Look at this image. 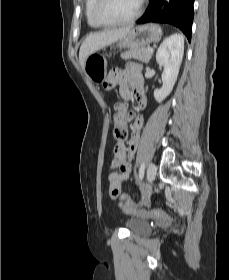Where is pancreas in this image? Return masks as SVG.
I'll use <instances>...</instances> for the list:
<instances>
[{"mask_svg":"<svg viewBox=\"0 0 229 280\" xmlns=\"http://www.w3.org/2000/svg\"><path fill=\"white\" fill-rule=\"evenodd\" d=\"M153 53L147 51V48H132L121 54L122 59H137L144 63H148Z\"/></svg>","mask_w":229,"mask_h":280,"instance_id":"pancreas-1","label":"pancreas"}]
</instances>
